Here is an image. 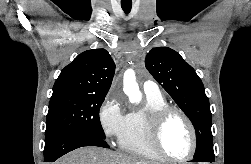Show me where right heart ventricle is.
<instances>
[{
    "instance_id": "1",
    "label": "right heart ventricle",
    "mask_w": 251,
    "mask_h": 164,
    "mask_svg": "<svg viewBox=\"0 0 251 164\" xmlns=\"http://www.w3.org/2000/svg\"><path fill=\"white\" fill-rule=\"evenodd\" d=\"M169 106L162 95H146V104L143 109L131 111L127 114L119 147L121 150L141 158L161 161L162 158L154 151L149 139L150 115Z\"/></svg>"
}]
</instances>
